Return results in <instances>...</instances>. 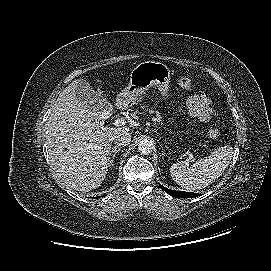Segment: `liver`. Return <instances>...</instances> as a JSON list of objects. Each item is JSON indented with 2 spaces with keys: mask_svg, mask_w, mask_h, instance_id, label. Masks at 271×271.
<instances>
[{
  "mask_svg": "<svg viewBox=\"0 0 271 271\" xmlns=\"http://www.w3.org/2000/svg\"><path fill=\"white\" fill-rule=\"evenodd\" d=\"M77 80L58 96L46 127L51 167L69 187L82 192L98 188L108 171L113 135L128 127L104 126V117L76 97Z\"/></svg>",
  "mask_w": 271,
  "mask_h": 271,
  "instance_id": "obj_1",
  "label": "liver"
}]
</instances>
